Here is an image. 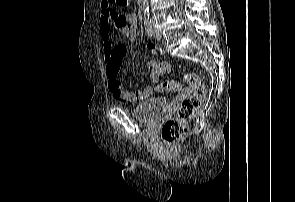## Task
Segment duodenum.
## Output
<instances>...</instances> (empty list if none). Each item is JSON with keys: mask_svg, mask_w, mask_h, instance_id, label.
Instances as JSON below:
<instances>
[{"mask_svg": "<svg viewBox=\"0 0 295 202\" xmlns=\"http://www.w3.org/2000/svg\"><path fill=\"white\" fill-rule=\"evenodd\" d=\"M139 6H143L145 4V0H137Z\"/></svg>", "mask_w": 295, "mask_h": 202, "instance_id": "410a0bca", "label": "duodenum"}]
</instances>
